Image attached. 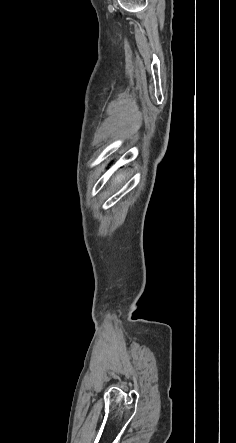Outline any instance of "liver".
<instances>
[{
  "mask_svg": "<svg viewBox=\"0 0 236 443\" xmlns=\"http://www.w3.org/2000/svg\"><path fill=\"white\" fill-rule=\"evenodd\" d=\"M122 179H123V175H122V174H118V175L113 179V182H114V183H119V182L122 181Z\"/></svg>",
  "mask_w": 236,
  "mask_h": 443,
  "instance_id": "6515ba94",
  "label": "liver"
}]
</instances>
